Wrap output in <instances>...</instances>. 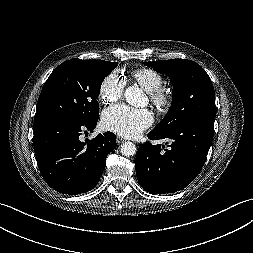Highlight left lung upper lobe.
Wrapping results in <instances>:
<instances>
[{
    "mask_svg": "<svg viewBox=\"0 0 253 253\" xmlns=\"http://www.w3.org/2000/svg\"><path fill=\"white\" fill-rule=\"evenodd\" d=\"M169 76L173 86L171 107L154 130L169 133L183 123L200 118L215 120V92L211 79L197 63L187 59L143 62Z\"/></svg>",
    "mask_w": 253,
    "mask_h": 253,
    "instance_id": "5c2ea615",
    "label": "left lung upper lobe"
}]
</instances>
